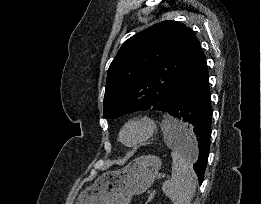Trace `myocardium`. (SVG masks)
<instances>
[{
	"label": "myocardium",
	"instance_id": "f54148a6",
	"mask_svg": "<svg viewBox=\"0 0 261 204\" xmlns=\"http://www.w3.org/2000/svg\"><path fill=\"white\" fill-rule=\"evenodd\" d=\"M137 125L142 127V135L133 142L127 143L123 140L124 131L132 126ZM158 129L156 121L149 115L139 114L128 118L121 126L118 134V139L122 145L128 148H137L144 145L147 141L154 137Z\"/></svg>",
	"mask_w": 261,
	"mask_h": 204
}]
</instances>
